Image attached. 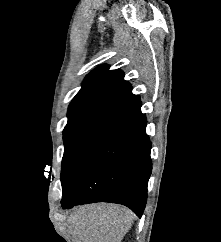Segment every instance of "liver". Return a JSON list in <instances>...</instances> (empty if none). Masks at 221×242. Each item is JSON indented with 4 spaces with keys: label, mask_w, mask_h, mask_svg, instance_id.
<instances>
[{
    "label": "liver",
    "mask_w": 221,
    "mask_h": 242,
    "mask_svg": "<svg viewBox=\"0 0 221 242\" xmlns=\"http://www.w3.org/2000/svg\"><path fill=\"white\" fill-rule=\"evenodd\" d=\"M132 220L133 214L126 207L92 204L71 213L68 224L75 242H121Z\"/></svg>",
    "instance_id": "obj_1"
}]
</instances>
